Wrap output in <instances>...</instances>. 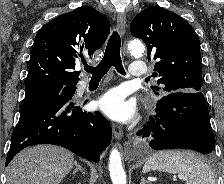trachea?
<instances>
[{
  "label": "trachea",
  "instance_id": "3493384b",
  "mask_svg": "<svg viewBox=\"0 0 224 184\" xmlns=\"http://www.w3.org/2000/svg\"><path fill=\"white\" fill-rule=\"evenodd\" d=\"M121 39L118 32H113L109 38L104 56L96 67L84 66V70L92 74L93 79H101L113 66L123 75H126L120 57Z\"/></svg>",
  "mask_w": 224,
  "mask_h": 184
}]
</instances>
